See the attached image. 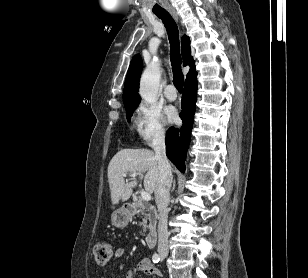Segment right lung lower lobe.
<instances>
[{"label": "right lung lower lobe", "mask_w": 308, "mask_h": 278, "mask_svg": "<svg viewBox=\"0 0 308 278\" xmlns=\"http://www.w3.org/2000/svg\"><path fill=\"white\" fill-rule=\"evenodd\" d=\"M197 77V76H196ZM185 82L182 96V112L180 114L183 125L180 129L171 127L166 134V154L173 164L181 171H185L184 156L191 139L193 116L197 94V78Z\"/></svg>", "instance_id": "1"}]
</instances>
